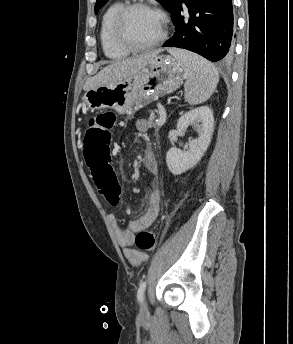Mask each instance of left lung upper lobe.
<instances>
[{"label": "left lung upper lobe", "instance_id": "left-lung-upper-lobe-1", "mask_svg": "<svg viewBox=\"0 0 293 344\" xmlns=\"http://www.w3.org/2000/svg\"><path fill=\"white\" fill-rule=\"evenodd\" d=\"M156 1H158L173 16L180 0H156ZM107 2L108 0H97L95 4V13H97L98 10L101 7H103Z\"/></svg>", "mask_w": 293, "mask_h": 344}]
</instances>
